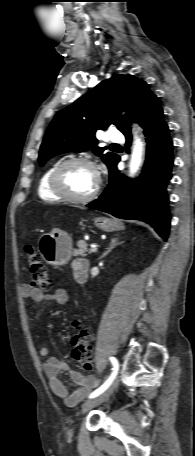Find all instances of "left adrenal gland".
I'll return each instance as SVG.
<instances>
[{
  "label": "left adrenal gland",
  "instance_id": "left-adrenal-gland-1",
  "mask_svg": "<svg viewBox=\"0 0 195 456\" xmlns=\"http://www.w3.org/2000/svg\"><path fill=\"white\" fill-rule=\"evenodd\" d=\"M123 241H119L118 238H112L110 243H109V246L108 248L106 249V251L99 257V259H102L103 257H105L106 255H108V253H110L112 251V249H114L116 246L122 244Z\"/></svg>",
  "mask_w": 195,
  "mask_h": 456
}]
</instances>
